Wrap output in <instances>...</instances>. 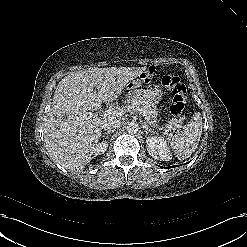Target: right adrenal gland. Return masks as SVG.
Masks as SVG:
<instances>
[{"instance_id":"obj_1","label":"right adrenal gland","mask_w":247,"mask_h":247,"mask_svg":"<svg viewBox=\"0 0 247 247\" xmlns=\"http://www.w3.org/2000/svg\"><path fill=\"white\" fill-rule=\"evenodd\" d=\"M105 135H106V139L109 137V135H111V133H108V132H105L104 134H103V137H105Z\"/></svg>"}]
</instances>
